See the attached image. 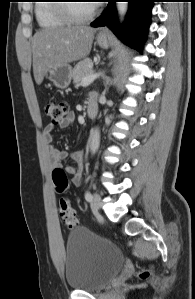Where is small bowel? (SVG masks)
<instances>
[{"instance_id": "1", "label": "small bowel", "mask_w": 195, "mask_h": 299, "mask_svg": "<svg viewBox=\"0 0 195 299\" xmlns=\"http://www.w3.org/2000/svg\"><path fill=\"white\" fill-rule=\"evenodd\" d=\"M73 121V116L68 115L58 124H48L43 131V140L47 145V152L53 165H58L68 157L71 158L74 165H68L65 169L68 173L72 174V183L75 186H80L84 169V152L76 151L69 154L67 151L58 149L52 145L54 131L56 130V128H60L63 130L68 129L72 125Z\"/></svg>"}]
</instances>
